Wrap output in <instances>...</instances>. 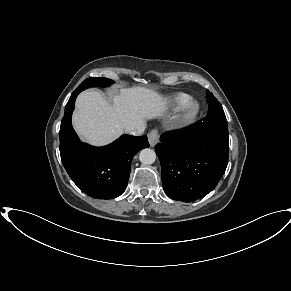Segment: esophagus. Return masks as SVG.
<instances>
[{"mask_svg": "<svg viewBox=\"0 0 291 291\" xmlns=\"http://www.w3.org/2000/svg\"><path fill=\"white\" fill-rule=\"evenodd\" d=\"M148 141L151 147L155 146L159 141V132L157 130H152L148 134Z\"/></svg>", "mask_w": 291, "mask_h": 291, "instance_id": "esophagus-1", "label": "esophagus"}]
</instances>
